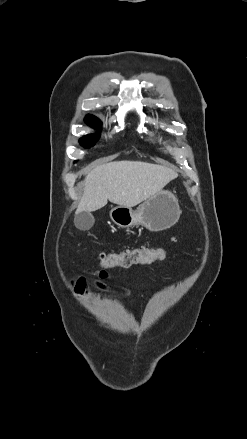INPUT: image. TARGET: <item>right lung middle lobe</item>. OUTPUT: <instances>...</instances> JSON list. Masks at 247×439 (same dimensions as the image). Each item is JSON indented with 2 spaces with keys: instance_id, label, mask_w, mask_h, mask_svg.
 Returning <instances> with one entry per match:
<instances>
[{
  "instance_id": "obj_1",
  "label": "right lung middle lobe",
  "mask_w": 247,
  "mask_h": 439,
  "mask_svg": "<svg viewBox=\"0 0 247 439\" xmlns=\"http://www.w3.org/2000/svg\"><path fill=\"white\" fill-rule=\"evenodd\" d=\"M85 122L89 126L94 127V128L99 127L101 124L100 120L97 119L96 117H86ZM98 139H99L98 134L87 135V136L80 139V144L84 147H90V146H93Z\"/></svg>"
}]
</instances>
